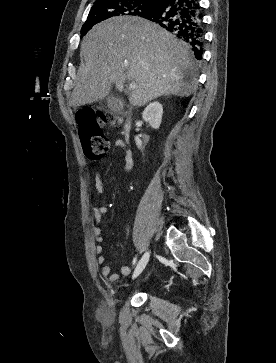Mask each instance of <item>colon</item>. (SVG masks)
I'll use <instances>...</instances> for the list:
<instances>
[{
  "mask_svg": "<svg viewBox=\"0 0 276 363\" xmlns=\"http://www.w3.org/2000/svg\"><path fill=\"white\" fill-rule=\"evenodd\" d=\"M77 122L85 155L92 160L103 157L109 149V140L102 125L115 123L116 118L112 114H96L91 110H86L77 115Z\"/></svg>",
  "mask_w": 276,
  "mask_h": 363,
  "instance_id": "obj_1",
  "label": "colon"
}]
</instances>
